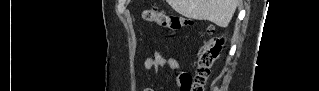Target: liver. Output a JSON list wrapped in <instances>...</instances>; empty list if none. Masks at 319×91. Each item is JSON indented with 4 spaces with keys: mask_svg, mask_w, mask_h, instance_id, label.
<instances>
[{
    "mask_svg": "<svg viewBox=\"0 0 319 91\" xmlns=\"http://www.w3.org/2000/svg\"><path fill=\"white\" fill-rule=\"evenodd\" d=\"M179 14L195 20H208L219 27L230 23L239 0H167Z\"/></svg>",
    "mask_w": 319,
    "mask_h": 91,
    "instance_id": "liver-1",
    "label": "liver"
}]
</instances>
